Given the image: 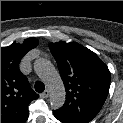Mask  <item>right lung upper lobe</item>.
<instances>
[{
  "instance_id": "cb5924a9",
  "label": "right lung upper lobe",
  "mask_w": 123,
  "mask_h": 123,
  "mask_svg": "<svg viewBox=\"0 0 123 123\" xmlns=\"http://www.w3.org/2000/svg\"><path fill=\"white\" fill-rule=\"evenodd\" d=\"M37 45L38 40L28 38L1 48V123H25L29 103L38 98L19 70L22 57Z\"/></svg>"
}]
</instances>
